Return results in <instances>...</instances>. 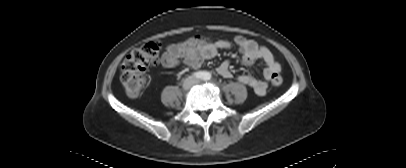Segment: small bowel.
<instances>
[{
	"mask_svg": "<svg viewBox=\"0 0 406 168\" xmlns=\"http://www.w3.org/2000/svg\"><path fill=\"white\" fill-rule=\"evenodd\" d=\"M233 42L237 46L244 64H252L255 61H260L263 64L260 79L249 74H242L238 76V82L252 88L257 95L264 96L272 75L280 72V64L267 47L259 45L252 39L237 35L234 37ZM230 47L231 43L229 41L213 42L197 35L183 42L168 45L161 57V64L164 67L173 68L180 63H184L188 67L199 68L205 60L213 58L218 50L229 49ZM217 72L224 78H231L230 61H223L217 68Z\"/></svg>",
	"mask_w": 406,
	"mask_h": 168,
	"instance_id": "small-bowel-1",
	"label": "small bowel"
}]
</instances>
